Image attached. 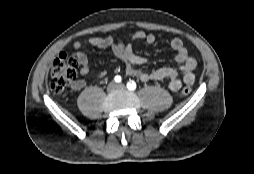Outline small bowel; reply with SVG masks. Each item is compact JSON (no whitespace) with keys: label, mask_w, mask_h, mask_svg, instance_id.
I'll return each mask as SVG.
<instances>
[{"label":"small bowel","mask_w":254,"mask_h":174,"mask_svg":"<svg viewBox=\"0 0 254 174\" xmlns=\"http://www.w3.org/2000/svg\"><path fill=\"white\" fill-rule=\"evenodd\" d=\"M134 41H145L147 44H153L156 41V37L153 34H147L142 30H138L131 35L127 42L114 37H89L83 41H76L73 48L79 74L86 76L90 71L88 56L81 51L84 45H89L110 49L117 58L125 62L126 74L134 76L142 82L168 80L169 88L173 91H179L182 87V82L187 85H192L195 82L194 69L196 61L189 55L181 39L174 38L170 42V47L175 52L177 69L161 67L151 72H145L136 68L137 66L146 65L148 60L133 51L132 43ZM179 72L182 75V80L178 76ZM104 76L105 72H100L96 75L95 80H100ZM85 85L86 81L84 79H77L71 83V88L79 90L84 88Z\"/></svg>","instance_id":"1"}]
</instances>
